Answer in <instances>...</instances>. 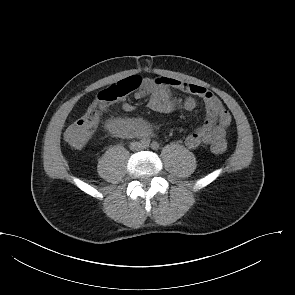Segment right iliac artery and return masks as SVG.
<instances>
[{
    "label": "right iliac artery",
    "mask_w": 295,
    "mask_h": 295,
    "mask_svg": "<svg viewBox=\"0 0 295 295\" xmlns=\"http://www.w3.org/2000/svg\"><path fill=\"white\" fill-rule=\"evenodd\" d=\"M141 142H142L143 145H149L150 144V139L146 137V138H143L141 140Z\"/></svg>",
    "instance_id": "obj_1"
}]
</instances>
